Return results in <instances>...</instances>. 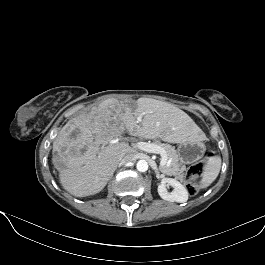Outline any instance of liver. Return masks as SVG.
Wrapping results in <instances>:
<instances>
[{
	"instance_id": "1",
	"label": "liver",
	"mask_w": 265,
	"mask_h": 265,
	"mask_svg": "<svg viewBox=\"0 0 265 265\" xmlns=\"http://www.w3.org/2000/svg\"><path fill=\"white\" fill-rule=\"evenodd\" d=\"M140 118V125H136ZM145 138L170 143L198 141L200 129L181 109L149 98L137 100L134 110L127 101L106 99L87 114L69 120L53 142L54 167L63 188L76 197L99 193L118 162L135 150L126 142L113 143L125 129Z\"/></svg>"
}]
</instances>
